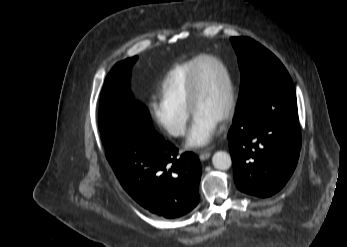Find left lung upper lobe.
Returning a JSON list of instances; mask_svg holds the SVG:
<instances>
[{"instance_id":"5c2ea615","label":"left lung upper lobe","mask_w":347,"mask_h":247,"mask_svg":"<svg viewBox=\"0 0 347 247\" xmlns=\"http://www.w3.org/2000/svg\"><path fill=\"white\" fill-rule=\"evenodd\" d=\"M230 40L238 56L241 71L236 112L244 110L267 87L291 82L283 64L265 47L248 37H233Z\"/></svg>"}]
</instances>
